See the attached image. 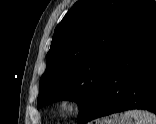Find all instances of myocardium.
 Wrapping results in <instances>:
<instances>
[{
    "instance_id": "myocardium-1",
    "label": "myocardium",
    "mask_w": 156,
    "mask_h": 124,
    "mask_svg": "<svg viewBox=\"0 0 156 124\" xmlns=\"http://www.w3.org/2000/svg\"><path fill=\"white\" fill-rule=\"evenodd\" d=\"M86 108L85 99L77 94H65L55 104V112L62 118H74L82 114Z\"/></svg>"
}]
</instances>
